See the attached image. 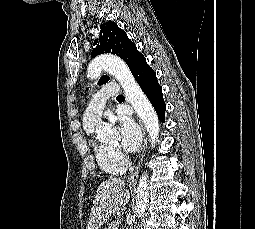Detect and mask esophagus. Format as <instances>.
<instances>
[{
    "label": "esophagus",
    "instance_id": "obj_1",
    "mask_svg": "<svg viewBox=\"0 0 255 229\" xmlns=\"http://www.w3.org/2000/svg\"><path fill=\"white\" fill-rule=\"evenodd\" d=\"M141 129H142V133H143V143H142V152L139 158V161L137 163V166L134 170V172H132L128 178H127V183L128 184H132L135 183L138 179V175H139V170L143 161V158L145 156V152H146V148H147V134H146V130L145 127L143 126L142 123H140Z\"/></svg>",
    "mask_w": 255,
    "mask_h": 229
}]
</instances>
